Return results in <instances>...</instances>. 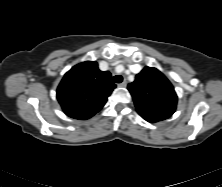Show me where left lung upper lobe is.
<instances>
[{
    "label": "left lung upper lobe",
    "mask_w": 222,
    "mask_h": 187,
    "mask_svg": "<svg viewBox=\"0 0 222 187\" xmlns=\"http://www.w3.org/2000/svg\"><path fill=\"white\" fill-rule=\"evenodd\" d=\"M137 112L170 117L176 110L177 95L169 80L156 68L146 66L128 85Z\"/></svg>",
    "instance_id": "5c2ea615"
}]
</instances>
